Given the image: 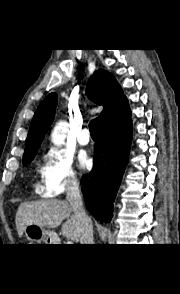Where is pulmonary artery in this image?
Here are the masks:
<instances>
[{"instance_id": "obj_1", "label": "pulmonary artery", "mask_w": 180, "mask_h": 294, "mask_svg": "<svg viewBox=\"0 0 180 294\" xmlns=\"http://www.w3.org/2000/svg\"><path fill=\"white\" fill-rule=\"evenodd\" d=\"M78 143L81 145H87L90 143V135L89 130L87 128H84L80 134L78 135Z\"/></svg>"}]
</instances>
